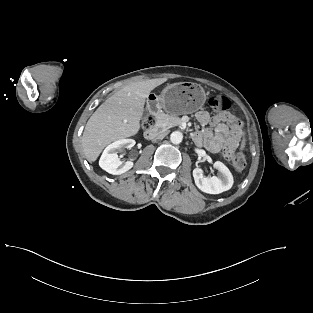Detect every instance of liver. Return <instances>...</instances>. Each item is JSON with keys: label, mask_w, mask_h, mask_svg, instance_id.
I'll return each instance as SVG.
<instances>
[{"label": "liver", "mask_w": 313, "mask_h": 313, "mask_svg": "<svg viewBox=\"0 0 313 313\" xmlns=\"http://www.w3.org/2000/svg\"><path fill=\"white\" fill-rule=\"evenodd\" d=\"M167 78L124 86L102 103L89 118L82 136L86 159L94 162L109 143L133 136L140 129L146 98Z\"/></svg>", "instance_id": "obj_1"}]
</instances>
